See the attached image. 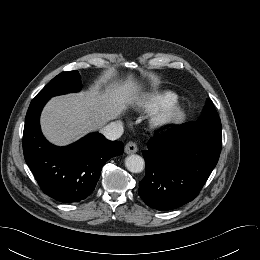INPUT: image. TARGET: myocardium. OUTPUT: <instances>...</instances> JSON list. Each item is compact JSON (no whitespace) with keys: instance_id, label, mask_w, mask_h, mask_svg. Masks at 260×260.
<instances>
[{"instance_id":"f54148a6","label":"myocardium","mask_w":260,"mask_h":260,"mask_svg":"<svg viewBox=\"0 0 260 260\" xmlns=\"http://www.w3.org/2000/svg\"><path fill=\"white\" fill-rule=\"evenodd\" d=\"M182 114V109L177 100L157 109L151 117L154 128H163L176 122Z\"/></svg>"}]
</instances>
